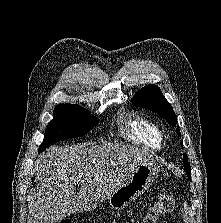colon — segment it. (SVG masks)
I'll list each match as a JSON object with an SVG mask.
<instances>
[{
  "instance_id": "5ec220e1",
  "label": "colon",
  "mask_w": 221,
  "mask_h": 223,
  "mask_svg": "<svg viewBox=\"0 0 221 223\" xmlns=\"http://www.w3.org/2000/svg\"><path fill=\"white\" fill-rule=\"evenodd\" d=\"M175 205V199L170 189L163 190L158 198L147 208L141 223H158V221L169 214ZM59 223H71L70 219H62Z\"/></svg>"
}]
</instances>
